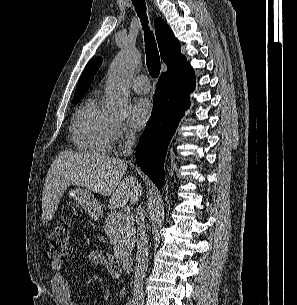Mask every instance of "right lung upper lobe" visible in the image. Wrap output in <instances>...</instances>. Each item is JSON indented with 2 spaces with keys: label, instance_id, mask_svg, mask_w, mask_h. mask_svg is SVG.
<instances>
[{
  "label": "right lung upper lobe",
  "instance_id": "right-lung-upper-lobe-1",
  "mask_svg": "<svg viewBox=\"0 0 297 305\" xmlns=\"http://www.w3.org/2000/svg\"><path fill=\"white\" fill-rule=\"evenodd\" d=\"M154 26L161 58L167 65V71L163 74H175L187 67L189 63L186 61L185 56L181 54L180 43L175 38L170 27L160 18L155 19ZM100 64V57L88 62L78 81L73 100L81 99L86 93Z\"/></svg>",
  "mask_w": 297,
  "mask_h": 305
}]
</instances>
